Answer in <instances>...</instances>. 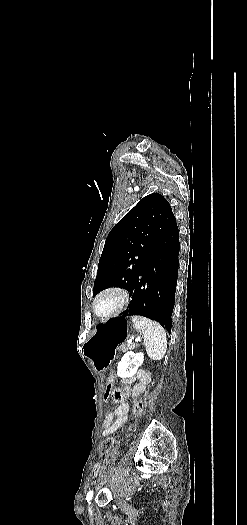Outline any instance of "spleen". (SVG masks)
Listing matches in <instances>:
<instances>
[{"instance_id": "1", "label": "spleen", "mask_w": 247, "mask_h": 525, "mask_svg": "<svg viewBox=\"0 0 247 525\" xmlns=\"http://www.w3.org/2000/svg\"><path fill=\"white\" fill-rule=\"evenodd\" d=\"M135 329L141 333L146 347V353L152 361H161L167 349L166 333L155 321L146 317H131Z\"/></svg>"}]
</instances>
